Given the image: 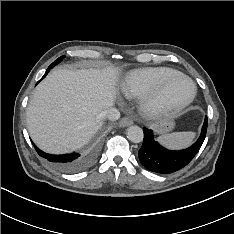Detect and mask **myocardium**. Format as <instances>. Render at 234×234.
<instances>
[{
  "instance_id": "1",
  "label": "myocardium",
  "mask_w": 234,
  "mask_h": 234,
  "mask_svg": "<svg viewBox=\"0 0 234 234\" xmlns=\"http://www.w3.org/2000/svg\"><path fill=\"white\" fill-rule=\"evenodd\" d=\"M180 79L189 82V84L191 85L190 94L182 100L166 99L164 97L165 91L173 82ZM195 96H196L195 83L187 76L179 73L175 76L166 79L155 89H153L151 92L146 94L143 97L142 110L145 114L149 116H157L169 112H178L184 109L185 107H187L189 104H191Z\"/></svg>"
}]
</instances>
